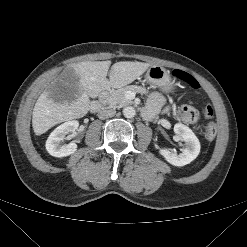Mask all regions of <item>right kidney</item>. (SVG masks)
I'll use <instances>...</instances> for the list:
<instances>
[{"label": "right kidney", "mask_w": 247, "mask_h": 247, "mask_svg": "<svg viewBox=\"0 0 247 247\" xmlns=\"http://www.w3.org/2000/svg\"><path fill=\"white\" fill-rule=\"evenodd\" d=\"M79 123L76 120L68 121L58 126L48 137L46 141V150L54 157H65L73 154L77 150L75 143L60 145L64 137L76 131Z\"/></svg>", "instance_id": "ca27d5eb"}]
</instances>
